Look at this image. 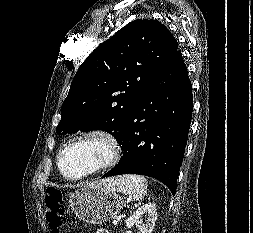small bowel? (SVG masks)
I'll use <instances>...</instances> for the list:
<instances>
[{
	"instance_id": "c3829d8e",
	"label": "small bowel",
	"mask_w": 253,
	"mask_h": 233,
	"mask_svg": "<svg viewBox=\"0 0 253 233\" xmlns=\"http://www.w3.org/2000/svg\"><path fill=\"white\" fill-rule=\"evenodd\" d=\"M96 233H109L107 230H104V229H99L97 230Z\"/></svg>"
}]
</instances>
